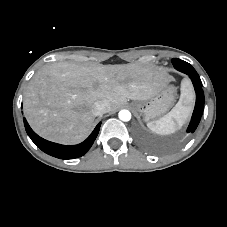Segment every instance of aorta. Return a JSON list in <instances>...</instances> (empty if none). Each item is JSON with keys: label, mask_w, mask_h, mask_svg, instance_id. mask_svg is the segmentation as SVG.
<instances>
[{"label": "aorta", "mask_w": 227, "mask_h": 227, "mask_svg": "<svg viewBox=\"0 0 227 227\" xmlns=\"http://www.w3.org/2000/svg\"><path fill=\"white\" fill-rule=\"evenodd\" d=\"M118 117L120 120L127 122L131 119V112L126 109L120 110L118 113Z\"/></svg>", "instance_id": "762f6f07"}]
</instances>
